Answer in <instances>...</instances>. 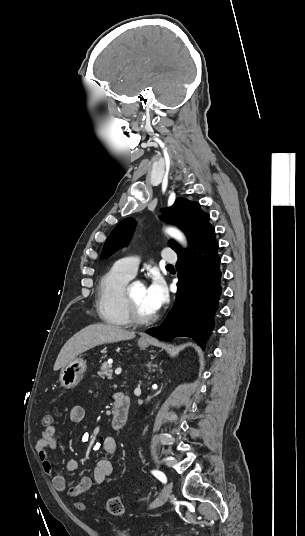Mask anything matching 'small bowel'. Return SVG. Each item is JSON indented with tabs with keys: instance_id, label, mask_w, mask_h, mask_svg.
<instances>
[{
	"instance_id": "small-bowel-1",
	"label": "small bowel",
	"mask_w": 305,
	"mask_h": 536,
	"mask_svg": "<svg viewBox=\"0 0 305 536\" xmlns=\"http://www.w3.org/2000/svg\"><path fill=\"white\" fill-rule=\"evenodd\" d=\"M86 415L85 408L81 405H74L68 411V419L72 423H81ZM59 442L57 438V429L54 425L49 424L42 431V435L36 444V451L42 468L46 474L52 478L53 488L68 495H82L92 485V482L97 484L103 483L114 471L113 463L106 458L98 459L94 465L92 478L82 477L76 485H68L66 479L62 475L54 474V467L50 458V452L57 450ZM99 447L107 454L113 455L117 450V443L113 437L107 436L101 438ZM81 466V461L78 459H70L66 462L65 469L68 473L77 471Z\"/></svg>"
}]
</instances>
